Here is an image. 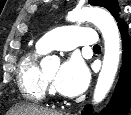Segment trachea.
<instances>
[{
  "mask_svg": "<svg viewBox=\"0 0 131 115\" xmlns=\"http://www.w3.org/2000/svg\"><path fill=\"white\" fill-rule=\"evenodd\" d=\"M93 49L95 50V49H101V47L99 46V45H95L94 47H93Z\"/></svg>",
  "mask_w": 131,
  "mask_h": 115,
  "instance_id": "obj_1",
  "label": "trachea"
}]
</instances>
